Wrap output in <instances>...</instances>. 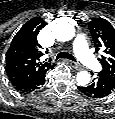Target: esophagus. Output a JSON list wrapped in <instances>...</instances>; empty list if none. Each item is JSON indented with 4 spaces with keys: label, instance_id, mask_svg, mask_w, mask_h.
<instances>
[{
    "label": "esophagus",
    "instance_id": "esophagus-1",
    "mask_svg": "<svg viewBox=\"0 0 115 119\" xmlns=\"http://www.w3.org/2000/svg\"><path fill=\"white\" fill-rule=\"evenodd\" d=\"M69 64L71 65V67H73V68L76 69V70H80V69H81L80 64H78V63L75 62V61L69 60Z\"/></svg>",
    "mask_w": 115,
    "mask_h": 119
}]
</instances>
